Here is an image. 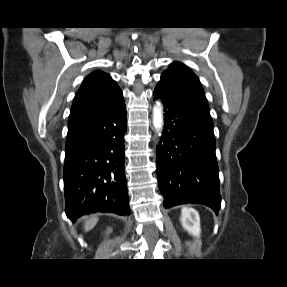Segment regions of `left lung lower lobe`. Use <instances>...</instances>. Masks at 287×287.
Listing matches in <instances>:
<instances>
[{
  "instance_id": "left-lung-lower-lobe-1",
  "label": "left lung lower lobe",
  "mask_w": 287,
  "mask_h": 287,
  "mask_svg": "<svg viewBox=\"0 0 287 287\" xmlns=\"http://www.w3.org/2000/svg\"><path fill=\"white\" fill-rule=\"evenodd\" d=\"M164 105L162 139L157 147V177L164 207L184 203L220 209L219 170L213 126L175 103L156 86Z\"/></svg>"
}]
</instances>
